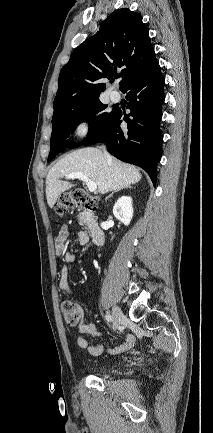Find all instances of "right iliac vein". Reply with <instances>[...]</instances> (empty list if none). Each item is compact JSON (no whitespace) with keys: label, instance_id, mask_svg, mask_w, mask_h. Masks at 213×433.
I'll return each mask as SVG.
<instances>
[{"label":"right iliac vein","instance_id":"63e3f726","mask_svg":"<svg viewBox=\"0 0 213 433\" xmlns=\"http://www.w3.org/2000/svg\"><path fill=\"white\" fill-rule=\"evenodd\" d=\"M113 322L115 328H117L123 321L124 315L121 309L117 306L112 308Z\"/></svg>","mask_w":213,"mask_h":433}]
</instances>
